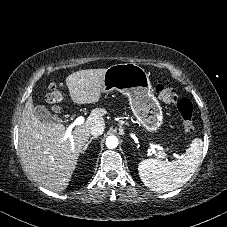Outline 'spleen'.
<instances>
[{
  "label": "spleen",
  "mask_w": 227,
  "mask_h": 227,
  "mask_svg": "<svg viewBox=\"0 0 227 227\" xmlns=\"http://www.w3.org/2000/svg\"><path fill=\"white\" fill-rule=\"evenodd\" d=\"M203 141H192L182 160L162 161L146 159L139 163V176L150 190L163 193L175 190L185 184L197 170L202 155Z\"/></svg>",
  "instance_id": "obj_1"
}]
</instances>
